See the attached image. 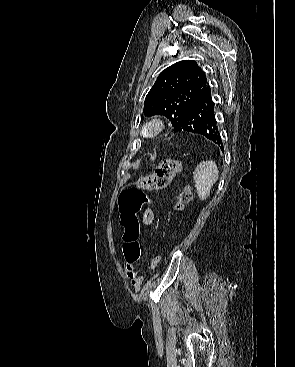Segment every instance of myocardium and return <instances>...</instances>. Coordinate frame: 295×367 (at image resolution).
Masks as SVG:
<instances>
[{
  "label": "myocardium",
  "mask_w": 295,
  "mask_h": 367,
  "mask_svg": "<svg viewBox=\"0 0 295 367\" xmlns=\"http://www.w3.org/2000/svg\"><path fill=\"white\" fill-rule=\"evenodd\" d=\"M165 128V123L160 117H152L141 125V134L148 139L159 136Z\"/></svg>",
  "instance_id": "obj_1"
}]
</instances>
